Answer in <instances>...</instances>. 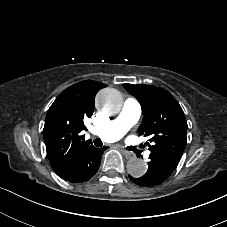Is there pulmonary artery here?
I'll list each match as a JSON object with an SVG mask.
<instances>
[{"mask_svg": "<svg viewBox=\"0 0 227 227\" xmlns=\"http://www.w3.org/2000/svg\"><path fill=\"white\" fill-rule=\"evenodd\" d=\"M141 104L135 98L128 99L119 115L107 124H100L90 128L89 133L93 137L104 136L109 142L116 141L123 136L139 119Z\"/></svg>", "mask_w": 227, "mask_h": 227, "instance_id": "pulmonary-artery-1", "label": "pulmonary artery"}]
</instances>
